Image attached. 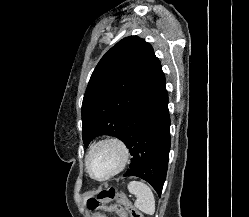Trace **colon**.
<instances>
[{"instance_id": "1", "label": "colon", "mask_w": 249, "mask_h": 217, "mask_svg": "<svg viewBox=\"0 0 249 217\" xmlns=\"http://www.w3.org/2000/svg\"><path fill=\"white\" fill-rule=\"evenodd\" d=\"M115 201V203H113ZM91 210H105L117 214L119 217H143L115 188L109 187L101 190L96 197L87 201Z\"/></svg>"}]
</instances>
